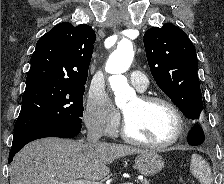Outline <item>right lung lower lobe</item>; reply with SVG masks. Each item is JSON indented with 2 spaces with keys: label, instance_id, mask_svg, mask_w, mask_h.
Instances as JSON below:
<instances>
[{
  "label": "right lung lower lobe",
  "instance_id": "98d812e1",
  "mask_svg": "<svg viewBox=\"0 0 224 184\" xmlns=\"http://www.w3.org/2000/svg\"><path fill=\"white\" fill-rule=\"evenodd\" d=\"M81 124L71 123H41L27 127L14 134L8 162H12L14 155L27 143L45 137L73 138L81 130Z\"/></svg>",
  "mask_w": 224,
  "mask_h": 184
}]
</instances>
